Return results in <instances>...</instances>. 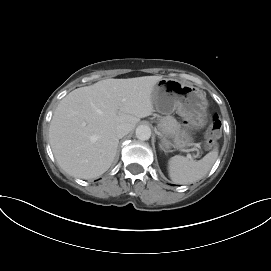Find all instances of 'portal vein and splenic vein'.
Masks as SVG:
<instances>
[{
    "label": "portal vein and splenic vein",
    "instance_id": "1",
    "mask_svg": "<svg viewBox=\"0 0 271 271\" xmlns=\"http://www.w3.org/2000/svg\"><path fill=\"white\" fill-rule=\"evenodd\" d=\"M187 158L192 160V156L189 153L187 154Z\"/></svg>",
    "mask_w": 271,
    "mask_h": 271
}]
</instances>
